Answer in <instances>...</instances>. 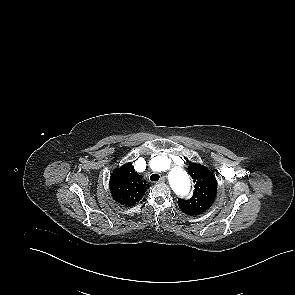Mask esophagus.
Instances as JSON below:
<instances>
[{
  "mask_svg": "<svg viewBox=\"0 0 295 295\" xmlns=\"http://www.w3.org/2000/svg\"><path fill=\"white\" fill-rule=\"evenodd\" d=\"M165 181H166L165 177H161V178L159 179L158 183H165Z\"/></svg>",
  "mask_w": 295,
  "mask_h": 295,
  "instance_id": "esophagus-1",
  "label": "esophagus"
}]
</instances>
